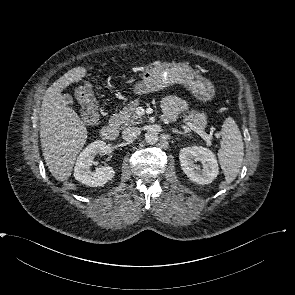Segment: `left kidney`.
<instances>
[{
    "instance_id": "left-kidney-1",
    "label": "left kidney",
    "mask_w": 295,
    "mask_h": 295,
    "mask_svg": "<svg viewBox=\"0 0 295 295\" xmlns=\"http://www.w3.org/2000/svg\"><path fill=\"white\" fill-rule=\"evenodd\" d=\"M180 164L187 177L198 184H210L218 175L219 168L215 154L202 146L186 147L180 150ZM200 162L201 165L196 164Z\"/></svg>"
}]
</instances>
